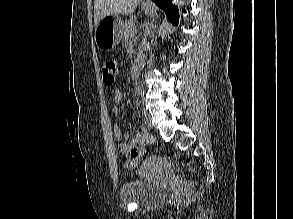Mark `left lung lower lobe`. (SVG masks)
<instances>
[{"label":"left lung lower lobe","mask_w":293,"mask_h":219,"mask_svg":"<svg viewBox=\"0 0 293 219\" xmlns=\"http://www.w3.org/2000/svg\"><path fill=\"white\" fill-rule=\"evenodd\" d=\"M155 2L156 5H158L160 8H162L167 18L174 24H178L179 19V13L178 8L171 3V0H152Z\"/></svg>","instance_id":"obj_1"}]
</instances>
